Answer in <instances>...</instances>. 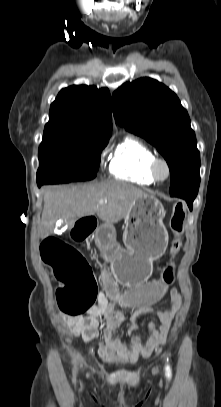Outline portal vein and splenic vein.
<instances>
[{
	"label": "portal vein and splenic vein",
	"instance_id": "18ae733b",
	"mask_svg": "<svg viewBox=\"0 0 221 407\" xmlns=\"http://www.w3.org/2000/svg\"><path fill=\"white\" fill-rule=\"evenodd\" d=\"M103 203H106V201L105 200H100L99 201V204H103Z\"/></svg>",
	"mask_w": 221,
	"mask_h": 407
}]
</instances>
